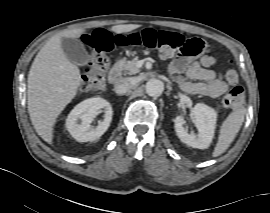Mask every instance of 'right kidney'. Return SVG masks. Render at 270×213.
Segmentation results:
<instances>
[{
	"label": "right kidney",
	"instance_id": "ca27d5eb",
	"mask_svg": "<svg viewBox=\"0 0 270 213\" xmlns=\"http://www.w3.org/2000/svg\"><path fill=\"white\" fill-rule=\"evenodd\" d=\"M105 108V115L97 127L91 123L100 110ZM113 110L110 103L100 97L89 98L74 107L66 119V128L78 142L94 141L100 138L110 126ZM81 123H78V121Z\"/></svg>",
	"mask_w": 270,
	"mask_h": 213
}]
</instances>
